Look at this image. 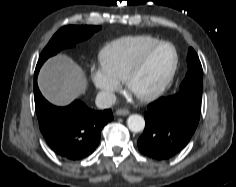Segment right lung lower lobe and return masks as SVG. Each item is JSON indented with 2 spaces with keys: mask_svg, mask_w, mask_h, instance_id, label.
<instances>
[{
  "mask_svg": "<svg viewBox=\"0 0 236 187\" xmlns=\"http://www.w3.org/2000/svg\"><path fill=\"white\" fill-rule=\"evenodd\" d=\"M37 75L35 71V109L47 144L66 160L78 161L88 157L99 144L102 128L113 119L112 111H95L78 100L66 107H56L40 93Z\"/></svg>",
  "mask_w": 236,
  "mask_h": 187,
  "instance_id": "1",
  "label": "right lung lower lobe"
}]
</instances>
